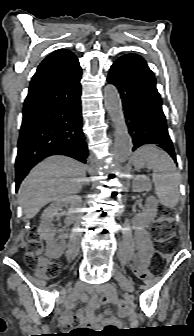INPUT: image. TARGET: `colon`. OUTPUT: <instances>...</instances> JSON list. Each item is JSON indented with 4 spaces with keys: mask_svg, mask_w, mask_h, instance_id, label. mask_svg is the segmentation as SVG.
Instances as JSON below:
<instances>
[{
    "mask_svg": "<svg viewBox=\"0 0 194 336\" xmlns=\"http://www.w3.org/2000/svg\"><path fill=\"white\" fill-rule=\"evenodd\" d=\"M176 224L172 217L171 211L162 210L157 223L152 227L151 234L157 243L159 250L158 256L154 261L158 262L161 259L170 257L174 254L176 248ZM26 265L34 269L42 278H55L61 273V265L59 262L50 259L43 248V244L38 237L36 231H31L28 236V244L24 256ZM139 276L145 280L149 279L146 272L140 271ZM117 308L120 311L127 309V304L119 301ZM121 330L114 326H107L101 334L103 336H118Z\"/></svg>",
    "mask_w": 194,
    "mask_h": 336,
    "instance_id": "obj_1",
    "label": "colon"
}]
</instances>
